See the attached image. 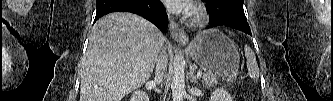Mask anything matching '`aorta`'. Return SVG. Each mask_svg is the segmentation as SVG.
Returning a JSON list of instances; mask_svg holds the SVG:
<instances>
[{
    "label": "aorta",
    "mask_w": 333,
    "mask_h": 101,
    "mask_svg": "<svg viewBox=\"0 0 333 101\" xmlns=\"http://www.w3.org/2000/svg\"><path fill=\"white\" fill-rule=\"evenodd\" d=\"M173 101H183L185 95V59L182 51H177L173 63L171 83Z\"/></svg>",
    "instance_id": "762f6f07"
}]
</instances>
